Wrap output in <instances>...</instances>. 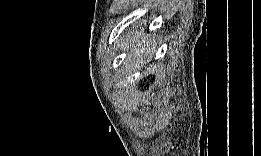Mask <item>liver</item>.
<instances>
[{"instance_id": "1", "label": "liver", "mask_w": 261, "mask_h": 156, "mask_svg": "<svg viewBox=\"0 0 261 156\" xmlns=\"http://www.w3.org/2000/svg\"><path fill=\"white\" fill-rule=\"evenodd\" d=\"M124 45L126 49H130L127 55V62L131 63L134 69H140V63H143V56L148 55L150 46L153 50V45L146 40L143 32H138L137 30L127 34Z\"/></svg>"}]
</instances>
